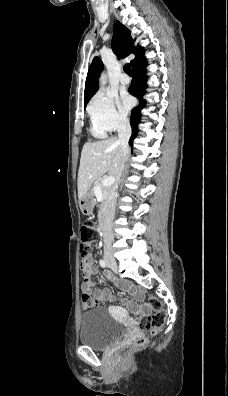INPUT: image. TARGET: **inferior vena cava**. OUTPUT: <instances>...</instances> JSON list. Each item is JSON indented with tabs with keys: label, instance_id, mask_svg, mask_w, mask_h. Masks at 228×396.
Segmentation results:
<instances>
[{
	"label": "inferior vena cava",
	"instance_id": "602c4592",
	"mask_svg": "<svg viewBox=\"0 0 228 396\" xmlns=\"http://www.w3.org/2000/svg\"><path fill=\"white\" fill-rule=\"evenodd\" d=\"M131 136V126L130 123L127 119H122L118 122V140L120 144L122 145L123 148V162L120 165L118 176H117V183L112 189V193L108 199V204H107V225L106 228L104 229V252L106 254H112V229H111V224L114 219L115 215V207H116V190L118 189V181L122 175L123 169H124V162L125 159L127 158L130 149H129V138Z\"/></svg>",
	"mask_w": 228,
	"mask_h": 396
}]
</instances>
